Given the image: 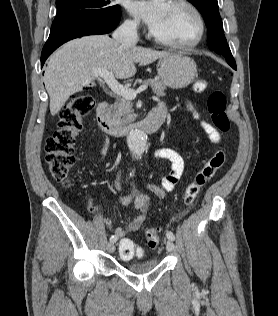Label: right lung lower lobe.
<instances>
[{"mask_svg":"<svg viewBox=\"0 0 278 316\" xmlns=\"http://www.w3.org/2000/svg\"><path fill=\"white\" fill-rule=\"evenodd\" d=\"M120 16L121 11L109 17L93 16L52 26L42 50L41 67L48 56L63 43L82 36L111 32L118 25Z\"/></svg>","mask_w":278,"mask_h":316,"instance_id":"right-lung-lower-lobe-1","label":"right lung lower lobe"}]
</instances>
